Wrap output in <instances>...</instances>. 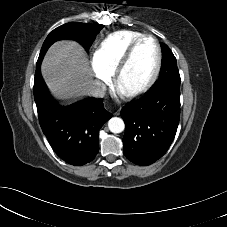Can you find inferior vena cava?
Segmentation results:
<instances>
[{
	"label": "inferior vena cava",
	"instance_id": "inferior-vena-cava-1",
	"mask_svg": "<svg viewBox=\"0 0 227 227\" xmlns=\"http://www.w3.org/2000/svg\"><path fill=\"white\" fill-rule=\"evenodd\" d=\"M106 92V86L104 83L95 81L89 89V93L95 98L104 97Z\"/></svg>",
	"mask_w": 227,
	"mask_h": 227
}]
</instances>
